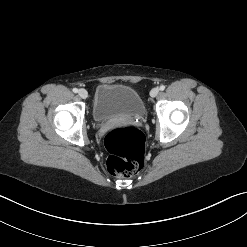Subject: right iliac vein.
<instances>
[{"label":"right iliac vein","mask_w":247,"mask_h":247,"mask_svg":"<svg viewBox=\"0 0 247 247\" xmlns=\"http://www.w3.org/2000/svg\"><path fill=\"white\" fill-rule=\"evenodd\" d=\"M78 95L83 98V99H86L88 97V92L85 90V89H80L78 91Z\"/></svg>","instance_id":"1"}]
</instances>
